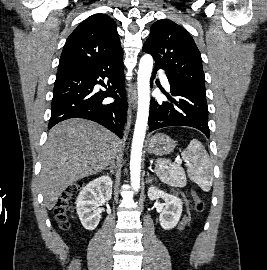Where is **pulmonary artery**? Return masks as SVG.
<instances>
[{
    "label": "pulmonary artery",
    "instance_id": "e3ab8cb5",
    "mask_svg": "<svg viewBox=\"0 0 267 270\" xmlns=\"http://www.w3.org/2000/svg\"><path fill=\"white\" fill-rule=\"evenodd\" d=\"M160 78H161V82L164 85V87L169 89L170 85H169V81H168V78L166 77V75L161 74Z\"/></svg>",
    "mask_w": 267,
    "mask_h": 270
}]
</instances>
